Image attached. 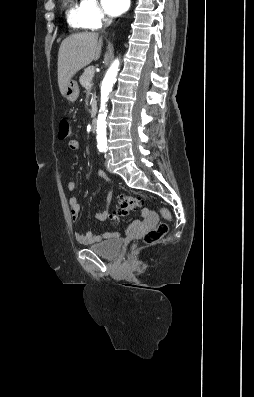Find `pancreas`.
I'll list each match as a JSON object with an SVG mask.
<instances>
[{
	"mask_svg": "<svg viewBox=\"0 0 254 397\" xmlns=\"http://www.w3.org/2000/svg\"><path fill=\"white\" fill-rule=\"evenodd\" d=\"M94 76V67L93 66H89L87 67L83 74L81 75L79 82L82 85V87H84L87 90V93L90 92L91 90V82ZM88 83L90 85H88ZM96 102L93 101V106H95Z\"/></svg>",
	"mask_w": 254,
	"mask_h": 397,
	"instance_id": "cf45deb5",
	"label": "pancreas"
}]
</instances>
